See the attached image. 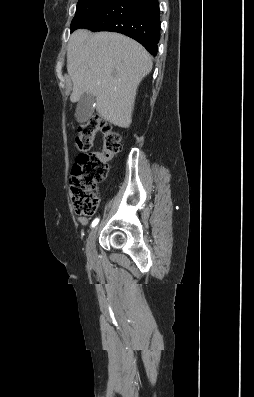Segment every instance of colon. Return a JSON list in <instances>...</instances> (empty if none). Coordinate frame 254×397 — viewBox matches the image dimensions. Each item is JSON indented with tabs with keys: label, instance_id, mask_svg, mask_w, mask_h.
I'll return each instance as SVG.
<instances>
[{
	"label": "colon",
	"instance_id": "colon-1",
	"mask_svg": "<svg viewBox=\"0 0 254 397\" xmlns=\"http://www.w3.org/2000/svg\"><path fill=\"white\" fill-rule=\"evenodd\" d=\"M97 134L102 135L103 146L91 151ZM75 144L79 154L70 178L74 209L79 215H93L99 204L97 185L107 177L109 162L121 150V135L103 117L93 115L78 128Z\"/></svg>",
	"mask_w": 254,
	"mask_h": 397
}]
</instances>
